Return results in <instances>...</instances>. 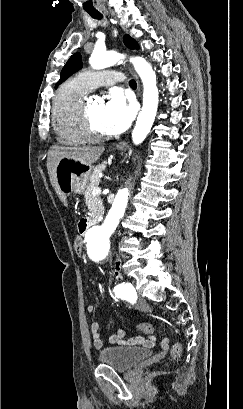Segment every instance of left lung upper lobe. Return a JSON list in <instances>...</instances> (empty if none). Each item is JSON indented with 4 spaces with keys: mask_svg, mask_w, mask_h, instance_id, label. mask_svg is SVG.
Here are the masks:
<instances>
[{
    "mask_svg": "<svg viewBox=\"0 0 243 409\" xmlns=\"http://www.w3.org/2000/svg\"><path fill=\"white\" fill-rule=\"evenodd\" d=\"M124 44L131 49H138L139 46L137 42L132 39L130 36L126 35L124 36ZM83 66L82 60H81V55L79 53H75L74 55L71 56V58L67 61L65 66L63 67L61 74H60V79L57 82L56 86L60 85L65 79H67L70 75L81 69Z\"/></svg>",
    "mask_w": 243,
    "mask_h": 409,
    "instance_id": "5c2ea615",
    "label": "left lung upper lobe"
}]
</instances>
